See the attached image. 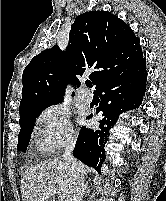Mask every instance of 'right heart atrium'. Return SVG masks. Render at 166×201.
<instances>
[{"instance_id": "obj_1", "label": "right heart atrium", "mask_w": 166, "mask_h": 201, "mask_svg": "<svg viewBox=\"0 0 166 201\" xmlns=\"http://www.w3.org/2000/svg\"><path fill=\"white\" fill-rule=\"evenodd\" d=\"M36 136L39 148L46 154L73 144L76 134L68 110L57 104L45 108L36 120Z\"/></svg>"}]
</instances>
